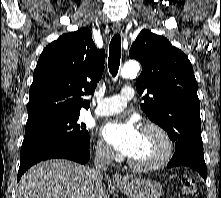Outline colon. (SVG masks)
<instances>
[{
	"label": "colon",
	"instance_id": "5ec220e1",
	"mask_svg": "<svg viewBox=\"0 0 221 198\" xmlns=\"http://www.w3.org/2000/svg\"><path fill=\"white\" fill-rule=\"evenodd\" d=\"M182 191L188 198H196L197 185L194 178H187L183 181Z\"/></svg>",
	"mask_w": 221,
	"mask_h": 198
}]
</instances>
